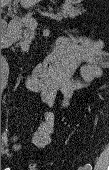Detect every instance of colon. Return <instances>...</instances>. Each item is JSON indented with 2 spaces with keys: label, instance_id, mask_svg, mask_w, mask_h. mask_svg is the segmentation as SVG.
I'll return each mask as SVG.
<instances>
[{
  "label": "colon",
  "instance_id": "1",
  "mask_svg": "<svg viewBox=\"0 0 109 170\" xmlns=\"http://www.w3.org/2000/svg\"><path fill=\"white\" fill-rule=\"evenodd\" d=\"M30 170H37V167L35 165H31Z\"/></svg>",
  "mask_w": 109,
  "mask_h": 170
}]
</instances>
